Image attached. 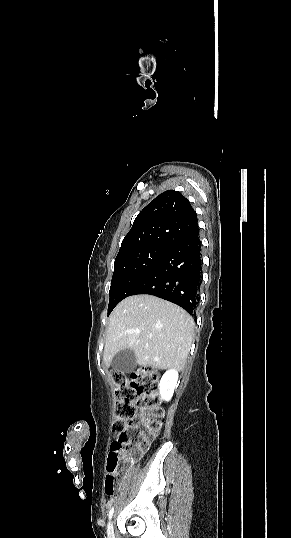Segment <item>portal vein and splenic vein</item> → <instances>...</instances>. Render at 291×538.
I'll return each mask as SVG.
<instances>
[{
	"instance_id": "1",
	"label": "portal vein and splenic vein",
	"mask_w": 291,
	"mask_h": 538,
	"mask_svg": "<svg viewBox=\"0 0 291 538\" xmlns=\"http://www.w3.org/2000/svg\"><path fill=\"white\" fill-rule=\"evenodd\" d=\"M133 332L139 334V330H133Z\"/></svg>"
}]
</instances>
